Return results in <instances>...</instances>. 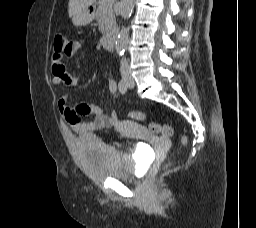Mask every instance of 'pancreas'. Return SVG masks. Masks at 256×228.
Wrapping results in <instances>:
<instances>
[{
	"instance_id": "obj_1",
	"label": "pancreas",
	"mask_w": 256,
	"mask_h": 228,
	"mask_svg": "<svg viewBox=\"0 0 256 228\" xmlns=\"http://www.w3.org/2000/svg\"><path fill=\"white\" fill-rule=\"evenodd\" d=\"M115 0L107 2V0H99L97 4L96 17L99 22V30L105 34L111 31L115 24V16L113 12V3Z\"/></svg>"
}]
</instances>
